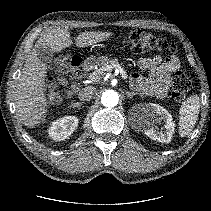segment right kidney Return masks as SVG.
<instances>
[{"instance_id":"obj_1","label":"right kidney","mask_w":211,"mask_h":211,"mask_svg":"<svg viewBox=\"0 0 211 211\" xmlns=\"http://www.w3.org/2000/svg\"><path fill=\"white\" fill-rule=\"evenodd\" d=\"M78 122L75 116L62 117L52 122L48 134L55 141H63L74 132Z\"/></svg>"}]
</instances>
